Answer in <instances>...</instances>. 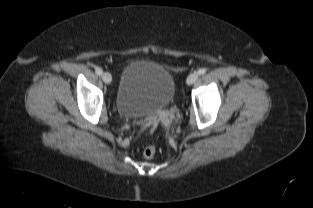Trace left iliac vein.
I'll use <instances>...</instances> for the list:
<instances>
[{
    "instance_id": "1",
    "label": "left iliac vein",
    "mask_w": 313,
    "mask_h": 208,
    "mask_svg": "<svg viewBox=\"0 0 313 208\" xmlns=\"http://www.w3.org/2000/svg\"><path fill=\"white\" fill-rule=\"evenodd\" d=\"M199 75L196 72L191 73L188 78H187V84L191 85L193 83H195L198 79Z\"/></svg>"
}]
</instances>
